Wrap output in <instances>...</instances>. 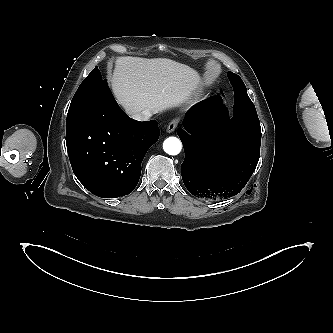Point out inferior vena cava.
I'll return each instance as SVG.
<instances>
[{
	"instance_id": "obj_1",
	"label": "inferior vena cava",
	"mask_w": 333,
	"mask_h": 333,
	"mask_svg": "<svg viewBox=\"0 0 333 333\" xmlns=\"http://www.w3.org/2000/svg\"><path fill=\"white\" fill-rule=\"evenodd\" d=\"M152 112L149 109H145L140 113L132 115V118L138 121H147L151 116Z\"/></svg>"
}]
</instances>
